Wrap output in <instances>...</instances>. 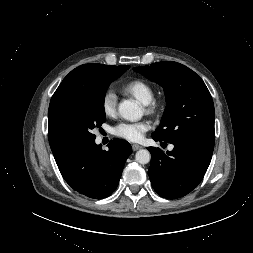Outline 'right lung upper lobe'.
Listing matches in <instances>:
<instances>
[{"label": "right lung upper lobe", "instance_id": "1", "mask_svg": "<svg viewBox=\"0 0 253 253\" xmlns=\"http://www.w3.org/2000/svg\"><path fill=\"white\" fill-rule=\"evenodd\" d=\"M130 67L129 65L109 66L104 64H84L72 70L61 82L51 98L50 104L65 92L81 91L92 88L100 76L113 75L118 71ZM49 143L53 154L66 148L54 135L49 126Z\"/></svg>", "mask_w": 253, "mask_h": 253}]
</instances>
